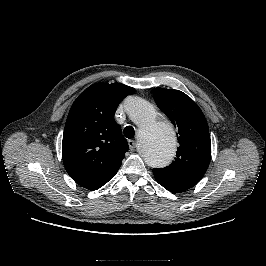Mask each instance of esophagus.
Returning a JSON list of instances; mask_svg holds the SVG:
<instances>
[{"mask_svg":"<svg viewBox=\"0 0 266 266\" xmlns=\"http://www.w3.org/2000/svg\"><path fill=\"white\" fill-rule=\"evenodd\" d=\"M128 145L131 150H134L135 148V141L134 140H128Z\"/></svg>","mask_w":266,"mask_h":266,"instance_id":"1","label":"esophagus"}]
</instances>
